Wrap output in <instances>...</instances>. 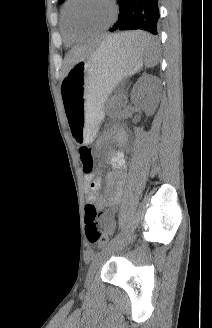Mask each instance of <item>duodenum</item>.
<instances>
[{
  "mask_svg": "<svg viewBox=\"0 0 212 328\" xmlns=\"http://www.w3.org/2000/svg\"><path fill=\"white\" fill-rule=\"evenodd\" d=\"M115 137H116L118 140H120V141L123 140V135H122V133L119 132V131L115 133Z\"/></svg>",
  "mask_w": 212,
  "mask_h": 328,
  "instance_id": "duodenum-1",
  "label": "duodenum"
}]
</instances>
